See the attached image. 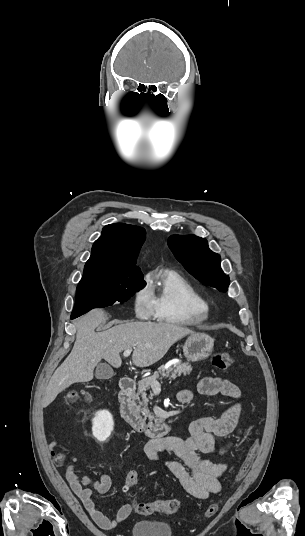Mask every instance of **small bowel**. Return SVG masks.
Listing matches in <instances>:
<instances>
[{
    "mask_svg": "<svg viewBox=\"0 0 305 536\" xmlns=\"http://www.w3.org/2000/svg\"><path fill=\"white\" fill-rule=\"evenodd\" d=\"M196 393L203 395L220 394L235 400V402L220 417H201L193 420L188 427V438L167 436L150 440L144 446V453L151 461H157L160 452L175 454L180 461L167 460L165 461L166 468L176 477L184 491L197 499L205 500L210 494L221 491L220 478L227 465L203 458L199 453L226 454L231 445H218L215 436H224L233 431L241 433V429L238 428V420L242 410L237 402L240 390L227 379L205 377L199 382L195 390L186 389L179 392L178 400L182 403H188L194 399ZM65 478L73 493L100 528L111 530L133 512V506L130 502L124 503L118 509L114 519L109 518L97 508L93 499V491L105 494L111 489L112 478L109 474H103L99 479L80 476L74 465L70 464L66 468ZM123 490L128 491L125 490V487Z\"/></svg>",
    "mask_w": 305,
    "mask_h": 536,
    "instance_id": "obj_1",
    "label": "small bowel"
}]
</instances>
